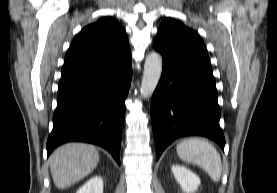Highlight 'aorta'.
Here are the masks:
<instances>
[{
  "mask_svg": "<svg viewBox=\"0 0 277 193\" xmlns=\"http://www.w3.org/2000/svg\"><path fill=\"white\" fill-rule=\"evenodd\" d=\"M162 73V57L157 52H151L147 55L144 72L141 82V96L150 97L155 91Z\"/></svg>",
  "mask_w": 277,
  "mask_h": 193,
  "instance_id": "1",
  "label": "aorta"
}]
</instances>
